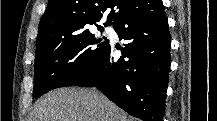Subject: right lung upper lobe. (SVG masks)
Returning a JSON list of instances; mask_svg holds the SVG:
<instances>
[{
  "label": "right lung upper lobe",
  "instance_id": "1",
  "mask_svg": "<svg viewBox=\"0 0 217 121\" xmlns=\"http://www.w3.org/2000/svg\"><path fill=\"white\" fill-rule=\"evenodd\" d=\"M143 0H49L39 24L36 47L51 43L96 25L106 9L111 11L104 24L113 25Z\"/></svg>",
  "mask_w": 217,
  "mask_h": 121
}]
</instances>
